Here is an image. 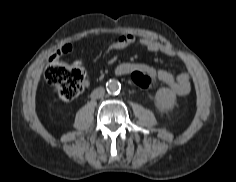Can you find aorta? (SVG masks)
<instances>
[{
	"instance_id": "762f6f07",
	"label": "aorta",
	"mask_w": 236,
	"mask_h": 182,
	"mask_svg": "<svg viewBox=\"0 0 236 182\" xmlns=\"http://www.w3.org/2000/svg\"><path fill=\"white\" fill-rule=\"evenodd\" d=\"M106 89L109 93H118L121 89V84L118 80L111 79L106 83Z\"/></svg>"
}]
</instances>
